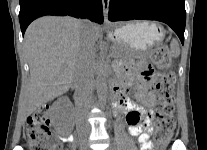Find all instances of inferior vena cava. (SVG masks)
Segmentation results:
<instances>
[{"instance_id": "1", "label": "inferior vena cava", "mask_w": 207, "mask_h": 150, "mask_svg": "<svg viewBox=\"0 0 207 150\" xmlns=\"http://www.w3.org/2000/svg\"><path fill=\"white\" fill-rule=\"evenodd\" d=\"M90 22L82 21L81 46L75 71V93L79 102L89 104L94 83L95 42L89 31Z\"/></svg>"}]
</instances>
